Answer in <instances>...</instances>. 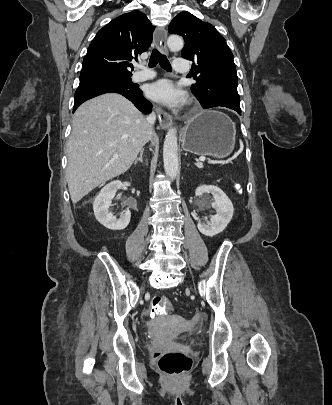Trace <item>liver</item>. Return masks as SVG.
Segmentation results:
<instances>
[{
  "instance_id": "obj_1",
  "label": "liver",
  "mask_w": 332,
  "mask_h": 405,
  "mask_svg": "<svg viewBox=\"0 0 332 405\" xmlns=\"http://www.w3.org/2000/svg\"><path fill=\"white\" fill-rule=\"evenodd\" d=\"M152 137L143 115L119 94L83 103L74 114L67 142L66 180L72 202L126 172Z\"/></svg>"
}]
</instances>
